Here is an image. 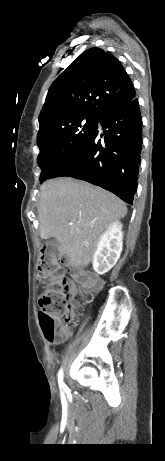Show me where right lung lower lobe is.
<instances>
[{"mask_svg": "<svg viewBox=\"0 0 165 461\" xmlns=\"http://www.w3.org/2000/svg\"><path fill=\"white\" fill-rule=\"evenodd\" d=\"M90 138L51 176H68L100 186L132 204L142 150V120L138 99L108 112L98 120Z\"/></svg>", "mask_w": 165, "mask_h": 461, "instance_id": "98d812e1", "label": "right lung lower lobe"}]
</instances>
